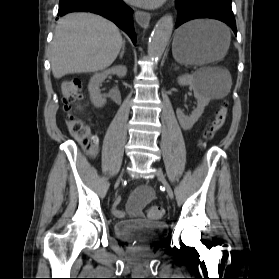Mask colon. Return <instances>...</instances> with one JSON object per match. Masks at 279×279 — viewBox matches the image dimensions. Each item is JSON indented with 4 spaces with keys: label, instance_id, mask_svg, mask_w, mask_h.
<instances>
[{
    "label": "colon",
    "instance_id": "5ec220e1",
    "mask_svg": "<svg viewBox=\"0 0 279 279\" xmlns=\"http://www.w3.org/2000/svg\"><path fill=\"white\" fill-rule=\"evenodd\" d=\"M61 92L64 109L69 112L68 129L79 140L86 153L93 156L97 150L98 138L91 134L89 126L74 112L82 99V81L79 78L65 80L61 85ZM227 115L228 103L224 102L205 130L203 140L200 142L201 146L215 137L225 124ZM145 215L151 220H158L164 215V210L159 206H150L145 210Z\"/></svg>",
    "mask_w": 279,
    "mask_h": 279
}]
</instances>
